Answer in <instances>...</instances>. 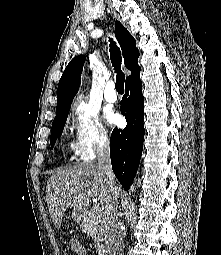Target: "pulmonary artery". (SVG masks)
I'll use <instances>...</instances> for the list:
<instances>
[{"label":"pulmonary artery","mask_w":221,"mask_h":255,"mask_svg":"<svg viewBox=\"0 0 221 255\" xmlns=\"http://www.w3.org/2000/svg\"><path fill=\"white\" fill-rule=\"evenodd\" d=\"M104 97L108 102H116L117 101V93L115 91V84L113 81H108L105 85L104 89Z\"/></svg>","instance_id":"e3ab8cb5"}]
</instances>
